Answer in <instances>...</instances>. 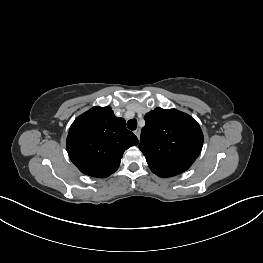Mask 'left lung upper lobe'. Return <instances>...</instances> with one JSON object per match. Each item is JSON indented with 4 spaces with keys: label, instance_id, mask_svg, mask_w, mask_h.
Instances as JSON below:
<instances>
[{
    "label": "left lung upper lobe",
    "instance_id": "1",
    "mask_svg": "<svg viewBox=\"0 0 263 263\" xmlns=\"http://www.w3.org/2000/svg\"><path fill=\"white\" fill-rule=\"evenodd\" d=\"M144 119L139 148L152 172L166 178L186 171L202 149L199 124L176 109L156 108Z\"/></svg>",
    "mask_w": 263,
    "mask_h": 263
}]
</instances>
